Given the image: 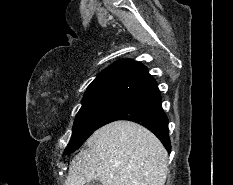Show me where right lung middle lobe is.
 <instances>
[{
  "label": "right lung middle lobe",
  "mask_w": 233,
  "mask_h": 185,
  "mask_svg": "<svg viewBox=\"0 0 233 185\" xmlns=\"http://www.w3.org/2000/svg\"><path fill=\"white\" fill-rule=\"evenodd\" d=\"M125 89H107L85 93L82 107L73 124V134L64 155L77 150L96 130L104 117L128 94Z\"/></svg>",
  "instance_id": "obj_1"
}]
</instances>
